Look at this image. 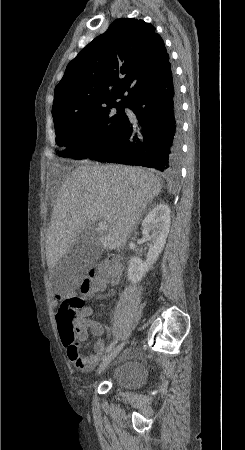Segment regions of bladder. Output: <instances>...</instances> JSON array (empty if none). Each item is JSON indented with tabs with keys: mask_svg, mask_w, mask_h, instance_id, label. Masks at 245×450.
Here are the masks:
<instances>
[{
	"mask_svg": "<svg viewBox=\"0 0 245 450\" xmlns=\"http://www.w3.org/2000/svg\"><path fill=\"white\" fill-rule=\"evenodd\" d=\"M146 375L144 364L138 360L119 363L112 374V385L123 391H134L142 386Z\"/></svg>",
	"mask_w": 245,
	"mask_h": 450,
	"instance_id": "bladder-1",
	"label": "bladder"
}]
</instances>
